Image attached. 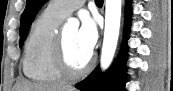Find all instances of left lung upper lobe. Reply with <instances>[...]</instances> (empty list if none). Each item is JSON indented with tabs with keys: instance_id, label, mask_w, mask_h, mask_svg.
<instances>
[{
	"instance_id": "left-lung-upper-lobe-1",
	"label": "left lung upper lobe",
	"mask_w": 173,
	"mask_h": 91,
	"mask_svg": "<svg viewBox=\"0 0 173 91\" xmlns=\"http://www.w3.org/2000/svg\"><path fill=\"white\" fill-rule=\"evenodd\" d=\"M46 0H26V8L22 14L20 25V46L27 37L30 25L39 10Z\"/></svg>"
}]
</instances>
